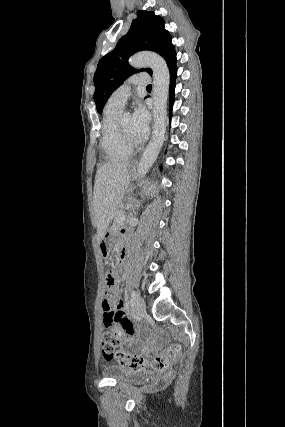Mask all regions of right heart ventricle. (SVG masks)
Here are the masks:
<instances>
[{"instance_id": "e07e8e85", "label": "right heart ventricle", "mask_w": 285, "mask_h": 427, "mask_svg": "<svg viewBox=\"0 0 285 427\" xmlns=\"http://www.w3.org/2000/svg\"><path fill=\"white\" fill-rule=\"evenodd\" d=\"M121 109L107 103L102 119L101 145L106 157L114 162L125 161L132 154V148L125 145L117 129V119Z\"/></svg>"}]
</instances>
